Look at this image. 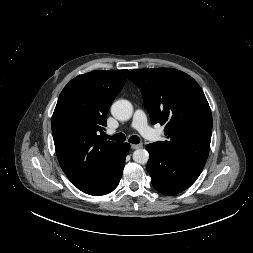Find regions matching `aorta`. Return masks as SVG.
Segmentation results:
<instances>
[{
    "label": "aorta",
    "instance_id": "aorta-1",
    "mask_svg": "<svg viewBox=\"0 0 253 253\" xmlns=\"http://www.w3.org/2000/svg\"><path fill=\"white\" fill-rule=\"evenodd\" d=\"M133 106L128 100H117L111 106V114L120 121H126L131 118ZM149 159V153L145 149H137L133 153V160L138 164H146Z\"/></svg>",
    "mask_w": 253,
    "mask_h": 253
}]
</instances>
